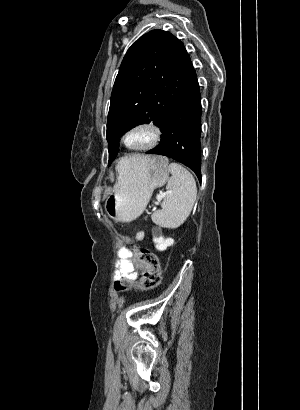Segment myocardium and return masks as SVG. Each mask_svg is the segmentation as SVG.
Listing matches in <instances>:
<instances>
[{
	"instance_id": "obj_1",
	"label": "myocardium",
	"mask_w": 300,
	"mask_h": 410,
	"mask_svg": "<svg viewBox=\"0 0 300 410\" xmlns=\"http://www.w3.org/2000/svg\"><path fill=\"white\" fill-rule=\"evenodd\" d=\"M136 131H146L150 134V140L140 146H129L127 137ZM163 137L162 129L154 122L141 121L129 127L121 136L122 145L129 151H148L159 145Z\"/></svg>"
}]
</instances>
